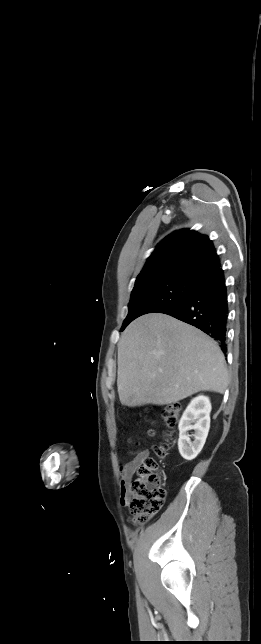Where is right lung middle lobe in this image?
<instances>
[{
	"instance_id": "right-lung-middle-lobe-1",
	"label": "right lung middle lobe",
	"mask_w": 261,
	"mask_h": 644,
	"mask_svg": "<svg viewBox=\"0 0 261 644\" xmlns=\"http://www.w3.org/2000/svg\"><path fill=\"white\" fill-rule=\"evenodd\" d=\"M195 281L184 278H167L151 281L132 290L129 312L121 331L137 317L171 308L190 293Z\"/></svg>"
}]
</instances>
